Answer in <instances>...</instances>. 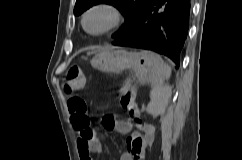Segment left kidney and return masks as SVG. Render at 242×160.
<instances>
[{
  "label": "left kidney",
  "instance_id": "1",
  "mask_svg": "<svg viewBox=\"0 0 242 160\" xmlns=\"http://www.w3.org/2000/svg\"><path fill=\"white\" fill-rule=\"evenodd\" d=\"M167 104V101H165L164 105L162 106L161 110L164 108V106Z\"/></svg>",
  "mask_w": 242,
  "mask_h": 160
}]
</instances>
